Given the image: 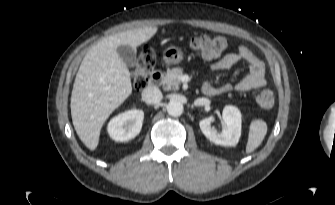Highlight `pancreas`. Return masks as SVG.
Segmentation results:
<instances>
[{"instance_id":"pancreas-1","label":"pancreas","mask_w":335,"mask_h":205,"mask_svg":"<svg viewBox=\"0 0 335 205\" xmlns=\"http://www.w3.org/2000/svg\"><path fill=\"white\" fill-rule=\"evenodd\" d=\"M183 75L182 68L168 69L163 78L164 90H177L181 83L180 77Z\"/></svg>"}]
</instances>
